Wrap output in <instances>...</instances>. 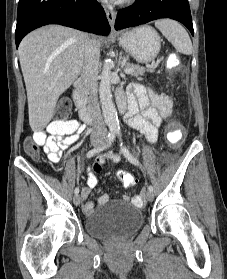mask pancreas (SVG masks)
<instances>
[{"instance_id":"obj_1","label":"pancreas","mask_w":227,"mask_h":279,"mask_svg":"<svg viewBox=\"0 0 227 279\" xmlns=\"http://www.w3.org/2000/svg\"><path fill=\"white\" fill-rule=\"evenodd\" d=\"M156 66H157V64L153 63L152 65L148 66V69H145L144 67H141L139 65L130 64V63L125 64L126 68L134 69L133 72L131 73V75L135 76V77L142 76L145 73V71H153Z\"/></svg>"}]
</instances>
